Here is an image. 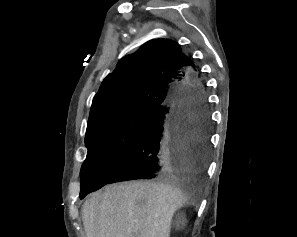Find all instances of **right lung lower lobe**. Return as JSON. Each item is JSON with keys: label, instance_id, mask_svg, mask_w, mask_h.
I'll return each mask as SVG.
<instances>
[{"label": "right lung lower lobe", "instance_id": "obj_1", "mask_svg": "<svg viewBox=\"0 0 297 237\" xmlns=\"http://www.w3.org/2000/svg\"><path fill=\"white\" fill-rule=\"evenodd\" d=\"M210 118L197 71L175 87L170 100L152 112L131 148L102 186L137 179L198 174L208 163Z\"/></svg>", "mask_w": 297, "mask_h": 237}]
</instances>
